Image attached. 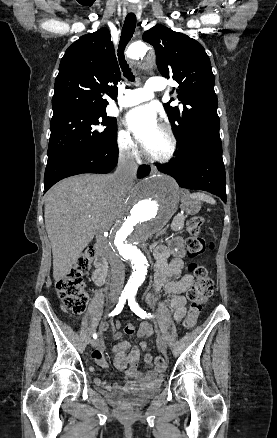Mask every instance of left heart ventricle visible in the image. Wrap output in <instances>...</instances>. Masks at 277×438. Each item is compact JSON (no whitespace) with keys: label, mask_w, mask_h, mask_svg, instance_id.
<instances>
[{"label":"left heart ventricle","mask_w":277,"mask_h":438,"mask_svg":"<svg viewBox=\"0 0 277 438\" xmlns=\"http://www.w3.org/2000/svg\"><path fill=\"white\" fill-rule=\"evenodd\" d=\"M145 152L151 156L164 157L170 149V141L167 135L160 129H156L143 146Z\"/></svg>","instance_id":"left-heart-ventricle-1"}]
</instances>
